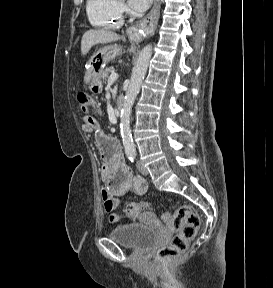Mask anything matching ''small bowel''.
Wrapping results in <instances>:
<instances>
[{
  "label": "small bowel",
  "instance_id": "small-bowel-1",
  "mask_svg": "<svg viewBox=\"0 0 273 288\" xmlns=\"http://www.w3.org/2000/svg\"><path fill=\"white\" fill-rule=\"evenodd\" d=\"M82 130L86 133L95 132L96 143L103 159L101 177L106 183L101 197L105 210L111 213L110 220L117 221L118 216L112 213L117 206V198L128 193L143 195L147 190V183L144 178L132 175L118 141L101 130L95 117L85 115Z\"/></svg>",
  "mask_w": 273,
  "mask_h": 288
}]
</instances>
